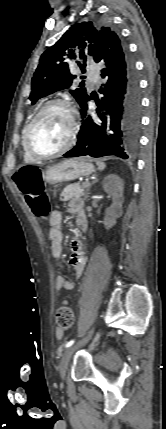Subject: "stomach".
<instances>
[{"mask_svg":"<svg viewBox=\"0 0 166 429\" xmlns=\"http://www.w3.org/2000/svg\"><path fill=\"white\" fill-rule=\"evenodd\" d=\"M44 172V181L50 185L75 180L95 172V166L85 159H69L49 166Z\"/></svg>","mask_w":166,"mask_h":429,"instance_id":"0dacf381","label":"stomach"}]
</instances>
